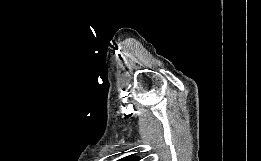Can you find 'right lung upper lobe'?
<instances>
[{"label": "right lung upper lobe", "instance_id": "cb5924a9", "mask_svg": "<svg viewBox=\"0 0 261 161\" xmlns=\"http://www.w3.org/2000/svg\"><path fill=\"white\" fill-rule=\"evenodd\" d=\"M119 161H138L137 157H125L120 159Z\"/></svg>", "mask_w": 261, "mask_h": 161}]
</instances>
